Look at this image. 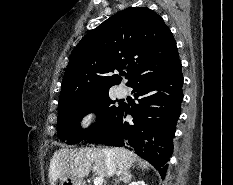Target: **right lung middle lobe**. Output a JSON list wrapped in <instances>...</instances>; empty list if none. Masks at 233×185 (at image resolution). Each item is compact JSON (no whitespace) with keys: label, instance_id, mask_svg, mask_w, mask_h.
Listing matches in <instances>:
<instances>
[{"label":"right lung middle lobe","instance_id":"right-lung-middle-lobe-1","mask_svg":"<svg viewBox=\"0 0 233 185\" xmlns=\"http://www.w3.org/2000/svg\"><path fill=\"white\" fill-rule=\"evenodd\" d=\"M115 101L109 98L108 91L93 94L85 99L65 104L59 107L57 132L62 141L75 144L82 139L88 140L102 129L117 112L119 107L112 106ZM99 114L98 123L86 130L78 127V122L89 112Z\"/></svg>","mask_w":233,"mask_h":185}]
</instances>
